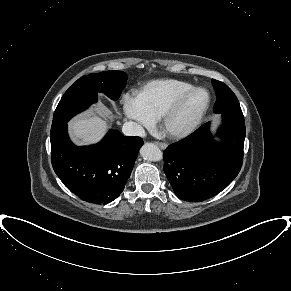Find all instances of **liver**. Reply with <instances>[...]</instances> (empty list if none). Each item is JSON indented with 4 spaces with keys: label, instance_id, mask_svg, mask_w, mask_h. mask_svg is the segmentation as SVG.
Returning a JSON list of instances; mask_svg holds the SVG:
<instances>
[{
    "label": "liver",
    "instance_id": "6515ba94",
    "mask_svg": "<svg viewBox=\"0 0 291 291\" xmlns=\"http://www.w3.org/2000/svg\"><path fill=\"white\" fill-rule=\"evenodd\" d=\"M71 136L79 144H93L98 142L107 130V120L90 112L75 118L69 123Z\"/></svg>",
    "mask_w": 291,
    "mask_h": 291
}]
</instances>
